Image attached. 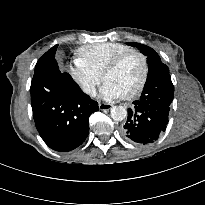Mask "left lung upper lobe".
I'll return each instance as SVG.
<instances>
[{
    "label": "left lung upper lobe",
    "instance_id": "obj_1",
    "mask_svg": "<svg viewBox=\"0 0 205 205\" xmlns=\"http://www.w3.org/2000/svg\"><path fill=\"white\" fill-rule=\"evenodd\" d=\"M127 44L137 47L146 55L149 65L147 80L139 100L170 106L173 100L174 86L168 67L161 62L159 55L151 47L135 42Z\"/></svg>",
    "mask_w": 205,
    "mask_h": 205
}]
</instances>
